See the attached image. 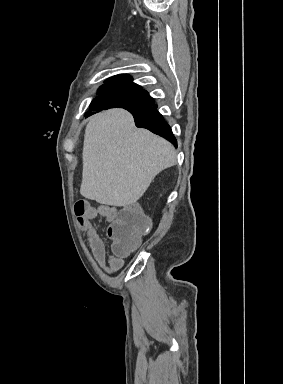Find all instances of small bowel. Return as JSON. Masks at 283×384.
Returning <instances> with one entry per match:
<instances>
[{"label": "small bowel", "instance_id": "1", "mask_svg": "<svg viewBox=\"0 0 283 384\" xmlns=\"http://www.w3.org/2000/svg\"><path fill=\"white\" fill-rule=\"evenodd\" d=\"M118 214L119 212L116 207L101 204L97 207L89 206L84 215L79 218L80 228L87 232L91 252L95 261L108 273L121 269L124 265V260L122 256L116 254L113 249H108L106 242L94 227L93 221L97 217H102L111 222Z\"/></svg>", "mask_w": 283, "mask_h": 384}]
</instances>
